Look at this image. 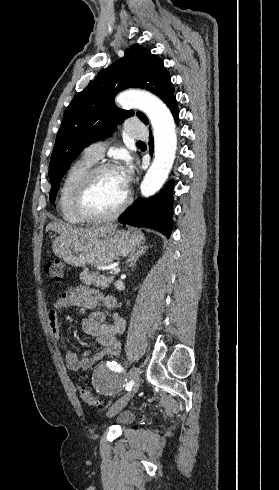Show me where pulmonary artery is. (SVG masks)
<instances>
[{"mask_svg":"<svg viewBox=\"0 0 279 490\" xmlns=\"http://www.w3.org/2000/svg\"><path fill=\"white\" fill-rule=\"evenodd\" d=\"M114 128L118 129L119 125L115 124ZM125 128L131 134L132 140H144L146 137L145 124L139 122L137 117H130ZM105 148L106 144L101 141L92 142L84 148L82 156L91 162H97L102 158Z\"/></svg>","mask_w":279,"mask_h":490,"instance_id":"1","label":"pulmonary artery"}]
</instances>
